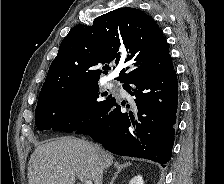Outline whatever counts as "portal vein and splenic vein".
<instances>
[{
  "label": "portal vein and splenic vein",
  "mask_w": 224,
  "mask_h": 184,
  "mask_svg": "<svg viewBox=\"0 0 224 184\" xmlns=\"http://www.w3.org/2000/svg\"><path fill=\"white\" fill-rule=\"evenodd\" d=\"M77 177H78V179H80L81 182H84L85 184H92V181H90V180H84V178L81 176H77Z\"/></svg>",
  "instance_id": "obj_1"
}]
</instances>
